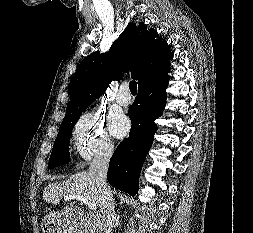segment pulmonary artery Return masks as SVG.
<instances>
[{
  "label": "pulmonary artery",
  "mask_w": 253,
  "mask_h": 233,
  "mask_svg": "<svg viewBox=\"0 0 253 233\" xmlns=\"http://www.w3.org/2000/svg\"><path fill=\"white\" fill-rule=\"evenodd\" d=\"M116 102L120 106H128L131 103V96L128 93V87L126 85L120 87L116 96Z\"/></svg>",
  "instance_id": "e3ab8cb5"
}]
</instances>
